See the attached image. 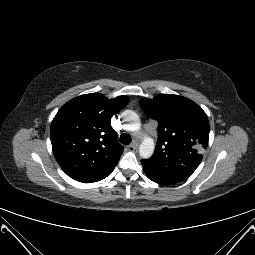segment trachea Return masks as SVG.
<instances>
[{"label":"trachea","mask_w":255,"mask_h":255,"mask_svg":"<svg viewBox=\"0 0 255 255\" xmlns=\"http://www.w3.org/2000/svg\"><path fill=\"white\" fill-rule=\"evenodd\" d=\"M119 140H120V142H121L122 144H125V145H128V144L131 143V137H130V135L127 134V133L121 134Z\"/></svg>","instance_id":"3493384b"}]
</instances>
